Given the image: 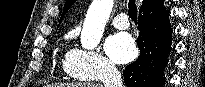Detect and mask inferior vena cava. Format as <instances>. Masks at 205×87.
Here are the masks:
<instances>
[{"label": "inferior vena cava", "mask_w": 205, "mask_h": 87, "mask_svg": "<svg viewBox=\"0 0 205 87\" xmlns=\"http://www.w3.org/2000/svg\"><path fill=\"white\" fill-rule=\"evenodd\" d=\"M104 87H122V76L114 64L108 63L103 69Z\"/></svg>", "instance_id": "inferior-vena-cava-1"}]
</instances>
